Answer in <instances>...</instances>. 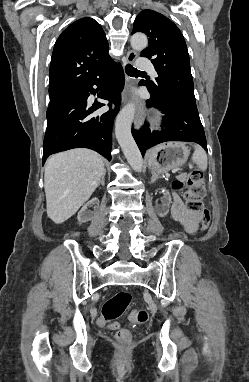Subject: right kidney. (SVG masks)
<instances>
[{
	"instance_id": "1",
	"label": "right kidney",
	"mask_w": 249,
	"mask_h": 382,
	"mask_svg": "<svg viewBox=\"0 0 249 382\" xmlns=\"http://www.w3.org/2000/svg\"><path fill=\"white\" fill-rule=\"evenodd\" d=\"M98 203V199L95 198H89L88 201L85 202L84 207L78 212L77 219L81 223H86L93 218V212L87 211L89 208H93L94 205Z\"/></svg>"
}]
</instances>
